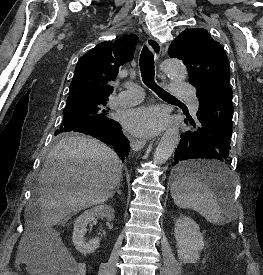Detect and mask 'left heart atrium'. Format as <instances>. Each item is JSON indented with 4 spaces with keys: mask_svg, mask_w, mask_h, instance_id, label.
<instances>
[{
    "mask_svg": "<svg viewBox=\"0 0 263 275\" xmlns=\"http://www.w3.org/2000/svg\"><path fill=\"white\" fill-rule=\"evenodd\" d=\"M164 116L154 107H141L134 109L124 117L127 129L135 135H148L161 128Z\"/></svg>",
    "mask_w": 263,
    "mask_h": 275,
    "instance_id": "39dd6f15",
    "label": "left heart atrium"
}]
</instances>
